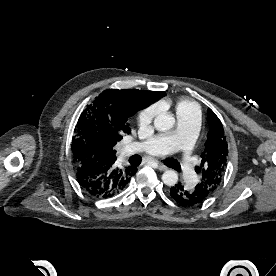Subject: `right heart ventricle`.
I'll list each match as a JSON object with an SVG mask.
<instances>
[{
    "label": "right heart ventricle",
    "instance_id": "obj_1",
    "mask_svg": "<svg viewBox=\"0 0 276 276\" xmlns=\"http://www.w3.org/2000/svg\"><path fill=\"white\" fill-rule=\"evenodd\" d=\"M177 113L186 110H197L199 111V106L195 102L189 100H181L176 105Z\"/></svg>",
    "mask_w": 276,
    "mask_h": 276
}]
</instances>
